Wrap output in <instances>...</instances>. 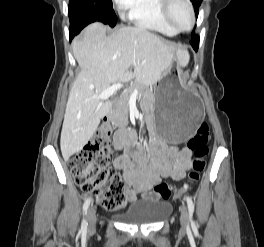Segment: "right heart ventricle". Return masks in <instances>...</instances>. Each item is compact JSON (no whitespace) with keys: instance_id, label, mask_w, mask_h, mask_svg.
<instances>
[{"instance_id":"obj_1","label":"right heart ventricle","mask_w":264,"mask_h":247,"mask_svg":"<svg viewBox=\"0 0 264 247\" xmlns=\"http://www.w3.org/2000/svg\"><path fill=\"white\" fill-rule=\"evenodd\" d=\"M162 0H133L129 9V19L138 27L166 35L176 33L162 13Z\"/></svg>"}]
</instances>
